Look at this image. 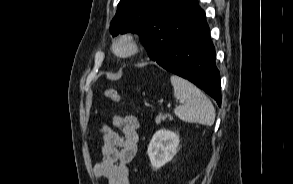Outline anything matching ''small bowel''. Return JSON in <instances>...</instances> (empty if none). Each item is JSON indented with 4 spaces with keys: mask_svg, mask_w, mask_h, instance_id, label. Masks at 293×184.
<instances>
[{
    "mask_svg": "<svg viewBox=\"0 0 293 184\" xmlns=\"http://www.w3.org/2000/svg\"><path fill=\"white\" fill-rule=\"evenodd\" d=\"M112 124L121 133L115 132L108 125H102V159L94 165L93 173L106 184H130L128 165L137 153L140 122L137 116L127 114L115 115Z\"/></svg>",
    "mask_w": 293,
    "mask_h": 184,
    "instance_id": "1",
    "label": "small bowel"
}]
</instances>
